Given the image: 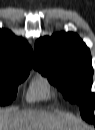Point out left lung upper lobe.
Segmentation results:
<instances>
[{
	"label": "left lung upper lobe",
	"instance_id": "left-lung-upper-lobe-1",
	"mask_svg": "<svg viewBox=\"0 0 95 130\" xmlns=\"http://www.w3.org/2000/svg\"><path fill=\"white\" fill-rule=\"evenodd\" d=\"M34 68L80 106L83 119L95 124L91 55L78 35L62 32L37 40Z\"/></svg>",
	"mask_w": 95,
	"mask_h": 130
}]
</instances>
